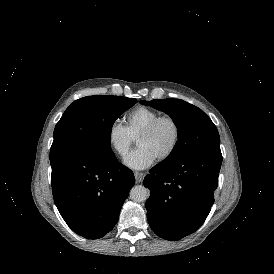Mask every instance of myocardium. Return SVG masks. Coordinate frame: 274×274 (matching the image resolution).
<instances>
[{
	"label": "myocardium",
	"mask_w": 274,
	"mask_h": 274,
	"mask_svg": "<svg viewBox=\"0 0 274 274\" xmlns=\"http://www.w3.org/2000/svg\"><path fill=\"white\" fill-rule=\"evenodd\" d=\"M164 122H168L172 125L174 130V136L169 150L161 158L156 160L158 164L170 159L177 149L181 134L180 125L178 121L171 115L159 116L154 121H152L145 129H143L136 137L137 140L138 138L147 137L151 135L158 128V126Z\"/></svg>",
	"instance_id": "obj_1"
}]
</instances>
